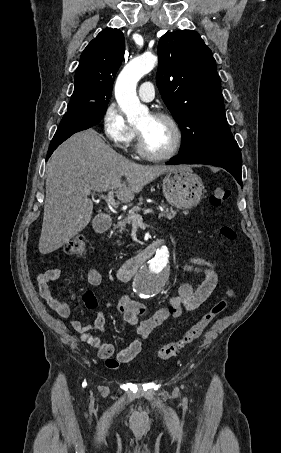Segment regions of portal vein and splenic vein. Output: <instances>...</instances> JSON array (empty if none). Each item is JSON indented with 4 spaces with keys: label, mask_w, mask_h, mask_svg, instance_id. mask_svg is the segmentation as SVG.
Here are the masks:
<instances>
[{
    "label": "portal vein and splenic vein",
    "mask_w": 281,
    "mask_h": 453,
    "mask_svg": "<svg viewBox=\"0 0 281 453\" xmlns=\"http://www.w3.org/2000/svg\"><path fill=\"white\" fill-rule=\"evenodd\" d=\"M85 194H91V190H89V188H86V190H84ZM99 198H104L105 202H107L108 206H112V208H118V204L117 202H115V198H114V190H109L108 194H98ZM146 212H152V208H146V210H144V214H146ZM130 218H132V222H142L143 218L141 216V214H132V216H130Z\"/></svg>",
    "instance_id": "18ae733b"
}]
</instances>
